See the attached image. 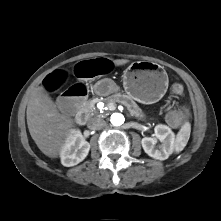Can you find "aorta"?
Instances as JSON below:
<instances>
[{
    "label": "aorta",
    "mask_w": 221,
    "mask_h": 221,
    "mask_svg": "<svg viewBox=\"0 0 221 221\" xmlns=\"http://www.w3.org/2000/svg\"><path fill=\"white\" fill-rule=\"evenodd\" d=\"M110 121L113 126H121L124 123L125 118L121 113H113Z\"/></svg>",
    "instance_id": "aorta-1"
}]
</instances>
